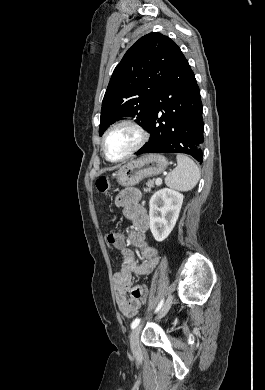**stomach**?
I'll list each match as a JSON object with an SVG mask.
<instances>
[{
  "label": "stomach",
  "instance_id": "obj_1",
  "mask_svg": "<svg viewBox=\"0 0 265 390\" xmlns=\"http://www.w3.org/2000/svg\"><path fill=\"white\" fill-rule=\"evenodd\" d=\"M167 165L168 161L163 155L147 154L125 164L114 176L121 186H134L143 178L161 174L165 171Z\"/></svg>",
  "mask_w": 265,
  "mask_h": 390
}]
</instances>
